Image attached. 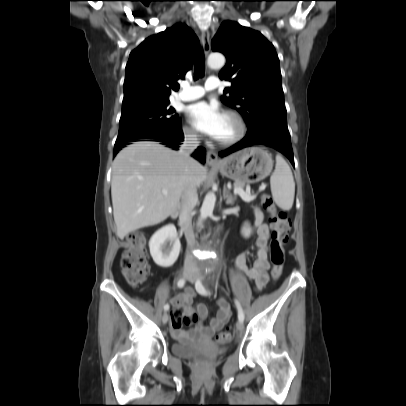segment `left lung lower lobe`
Wrapping results in <instances>:
<instances>
[{"label":"left lung lower lobe","instance_id":"1","mask_svg":"<svg viewBox=\"0 0 406 406\" xmlns=\"http://www.w3.org/2000/svg\"><path fill=\"white\" fill-rule=\"evenodd\" d=\"M252 145H266L283 153L294 166L291 138L288 129L276 126H261L256 129H248L246 136L232 147L221 151L220 157H225L235 151Z\"/></svg>","mask_w":406,"mask_h":406}]
</instances>
